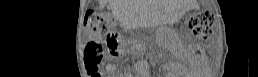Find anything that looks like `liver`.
I'll list each match as a JSON object with an SVG mask.
<instances>
[{"mask_svg": "<svg viewBox=\"0 0 258 77\" xmlns=\"http://www.w3.org/2000/svg\"><path fill=\"white\" fill-rule=\"evenodd\" d=\"M104 3V0H99ZM113 13L126 28L157 25L165 20L157 0H109Z\"/></svg>", "mask_w": 258, "mask_h": 77, "instance_id": "obj_1", "label": "liver"}]
</instances>
